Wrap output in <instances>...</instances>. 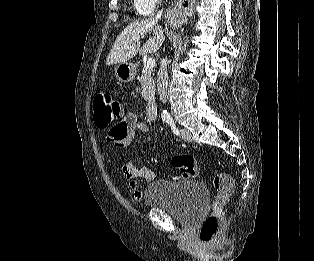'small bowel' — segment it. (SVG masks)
Wrapping results in <instances>:
<instances>
[{
	"mask_svg": "<svg viewBox=\"0 0 314 261\" xmlns=\"http://www.w3.org/2000/svg\"><path fill=\"white\" fill-rule=\"evenodd\" d=\"M120 127L125 129L111 128L109 133H105V140H110L117 147H126L129 145L133 135L138 132L145 137L147 142H150L149 127L138 121L133 112L127 113ZM121 172L128 179V186L132 192L133 199L140 201L143 198V192L139 189V179L152 180L155 176L154 171L150 167H138L134 162L127 161L121 166Z\"/></svg>",
	"mask_w": 314,
	"mask_h": 261,
	"instance_id": "c3829d8e",
	"label": "small bowel"
}]
</instances>
